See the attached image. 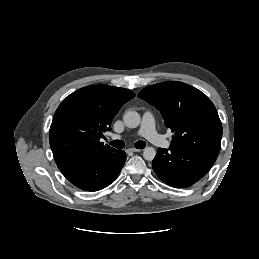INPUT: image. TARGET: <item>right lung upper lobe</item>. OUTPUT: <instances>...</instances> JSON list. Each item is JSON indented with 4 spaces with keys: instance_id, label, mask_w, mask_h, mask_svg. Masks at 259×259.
<instances>
[{
    "instance_id": "obj_1",
    "label": "right lung upper lobe",
    "mask_w": 259,
    "mask_h": 259,
    "mask_svg": "<svg viewBox=\"0 0 259 259\" xmlns=\"http://www.w3.org/2000/svg\"><path fill=\"white\" fill-rule=\"evenodd\" d=\"M135 94L108 85L83 87L67 96L57 108L49 142L57 166L79 164L115 149L100 139L124 103Z\"/></svg>"
}]
</instances>
